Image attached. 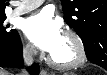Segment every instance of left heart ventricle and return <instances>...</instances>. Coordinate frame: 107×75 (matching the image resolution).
<instances>
[{
  "instance_id": "left-heart-ventricle-1",
  "label": "left heart ventricle",
  "mask_w": 107,
  "mask_h": 75,
  "mask_svg": "<svg viewBox=\"0 0 107 75\" xmlns=\"http://www.w3.org/2000/svg\"><path fill=\"white\" fill-rule=\"evenodd\" d=\"M51 55L59 62H68L74 59L76 53L71 40L63 35L60 45Z\"/></svg>"
}]
</instances>
